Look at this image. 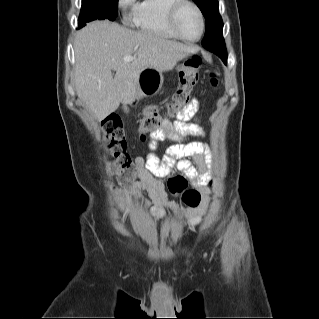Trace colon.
I'll return each mask as SVG.
<instances>
[{
	"mask_svg": "<svg viewBox=\"0 0 319 319\" xmlns=\"http://www.w3.org/2000/svg\"><path fill=\"white\" fill-rule=\"evenodd\" d=\"M202 60L193 55L184 60L179 66L180 83L169 108L170 115H177L180 109L187 104L189 95L199 80V70ZM208 84L211 88L218 85V77L215 71L208 74ZM161 115L157 106H147L144 109V117L139 122L136 132L145 136L147 133L158 132L161 129ZM104 137L107 142V150L111 155L108 163L112 175L117 176L120 183L129 184L134 166L131 157L126 151V134L119 117L110 118L104 125ZM187 181L184 177L172 179L168 183L171 193L180 195L182 202L188 208H196L200 204V194L195 190H183Z\"/></svg>",
	"mask_w": 319,
	"mask_h": 319,
	"instance_id": "colon-1",
	"label": "colon"
}]
</instances>
